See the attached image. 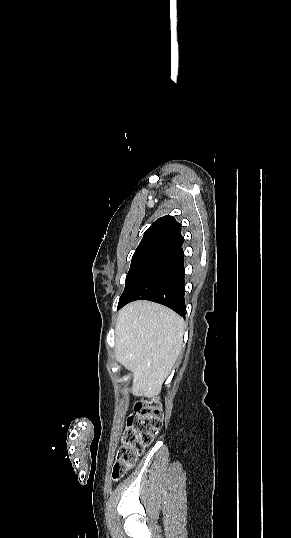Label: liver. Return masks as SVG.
Segmentation results:
<instances>
[{"mask_svg": "<svg viewBox=\"0 0 291 538\" xmlns=\"http://www.w3.org/2000/svg\"><path fill=\"white\" fill-rule=\"evenodd\" d=\"M184 329L182 317L153 302L135 301L119 311L115 357L133 373L136 395L160 393L181 353Z\"/></svg>", "mask_w": 291, "mask_h": 538, "instance_id": "obj_1", "label": "liver"}]
</instances>
